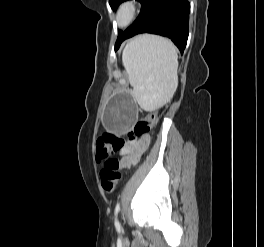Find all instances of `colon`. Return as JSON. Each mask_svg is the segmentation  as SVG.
Masks as SVG:
<instances>
[{"label":"colon","instance_id":"5ec220e1","mask_svg":"<svg viewBox=\"0 0 264 247\" xmlns=\"http://www.w3.org/2000/svg\"><path fill=\"white\" fill-rule=\"evenodd\" d=\"M156 122L155 112H151L145 118L138 120L132 131L128 133V141H134L138 136L150 132ZM126 140L114 133H104L96 143V158L103 162L100 171V184L106 193H112L121 179V162L113 157L114 153H123Z\"/></svg>","mask_w":264,"mask_h":247}]
</instances>
